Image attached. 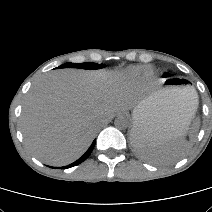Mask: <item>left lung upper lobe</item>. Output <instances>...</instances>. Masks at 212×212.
Returning a JSON list of instances; mask_svg holds the SVG:
<instances>
[{"mask_svg": "<svg viewBox=\"0 0 212 212\" xmlns=\"http://www.w3.org/2000/svg\"><path fill=\"white\" fill-rule=\"evenodd\" d=\"M168 76H169V74H168V73H165V74H164V77H168Z\"/></svg>", "mask_w": 212, "mask_h": 212, "instance_id": "obj_1", "label": "left lung upper lobe"}]
</instances>
